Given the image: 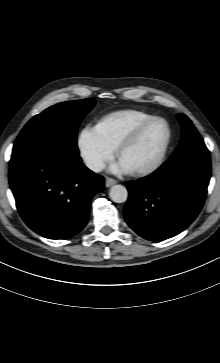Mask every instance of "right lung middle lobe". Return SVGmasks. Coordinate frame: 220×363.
I'll list each match as a JSON object with an SVG mask.
<instances>
[{
  "mask_svg": "<svg viewBox=\"0 0 220 363\" xmlns=\"http://www.w3.org/2000/svg\"><path fill=\"white\" fill-rule=\"evenodd\" d=\"M95 103L94 98L67 101L53 105L34 116L17 137L11 159L27 151L48 146L59 147L79 156L77 129Z\"/></svg>",
  "mask_w": 220,
  "mask_h": 363,
  "instance_id": "obj_1",
  "label": "right lung middle lobe"
}]
</instances>
